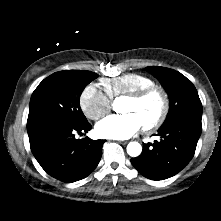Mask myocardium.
Wrapping results in <instances>:
<instances>
[{"instance_id":"f54148a6","label":"myocardium","mask_w":221,"mask_h":221,"mask_svg":"<svg viewBox=\"0 0 221 221\" xmlns=\"http://www.w3.org/2000/svg\"><path fill=\"white\" fill-rule=\"evenodd\" d=\"M152 95H157L160 98L161 109L154 120L143 124V128L146 131L157 129L166 121L170 109V101L167 92L162 87L154 84L125 96V99L140 102Z\"/></svg>"}]
</instances>
